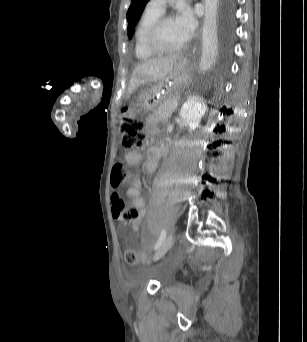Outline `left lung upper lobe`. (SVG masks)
Returning <instances> with one entry per match:
<instances>
[{"label":"left lung upper lobe","mask_w":307,"mask_h":342,"mask_svg":"<svg viewBox=\"0 0 307 342\" xmlns=\"http://www.w3.org/2000/svg\"><path fill=\"white\" fill-rule=\"evenodd\" d=\"M149 0H132L131 6L127 12L128 37L131 38L134 28ZM228 1V0H224ZM232 10L229 2H224L221 9V27H222V46L224 50L229 48V39L231 36Z\"/></svg>","instance_id":"obj_1"}]
</instances>
